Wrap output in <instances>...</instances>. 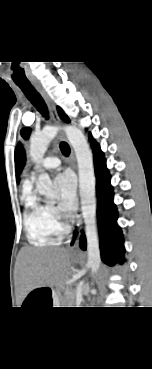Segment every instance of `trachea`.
Segmentation results:
<instances>
[{
    "label": "trachea",
    "instance_id": "3493384b",
    "mask_svg": "<svg viewBox=\"0 0 152 369\" xmlns=\"http://www.w3.org/2000/svg\"><path fill=\"white\" fill-rule=\"evenodd\" d=\"M17 85L20 87V89L23 91L29 101L33 104V106L42 114V116L48 118L47 106L41 95L36 91L31 83H21ZM60 150L64 156H69L70 147L66 142H61Z\"/></svg>",
    "mask_w": 152,
    "mask_h": 369
}]
</instances>
